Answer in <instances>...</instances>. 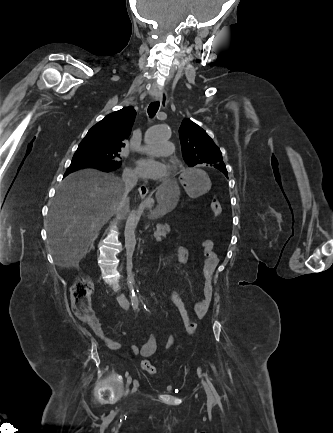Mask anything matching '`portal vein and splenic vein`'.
I'll return each mask as SVG.
<instances>
[{
	"label": "portal vein and splenic vein",
	"mask_w": 333,
	"mask_h": 433,
	"mask_svg": "<svg viewBox=\"0 0 333 433\" xmlns=\"http://www.w3.org/2000/svg\"><path fill=\"white\" fill-rule=\"evenodd\" d=\"M154 236L156 238V241H161V237H159L156 233H154Z\"/></svg>",
	"instance_id": "1"
}]
</instances>
